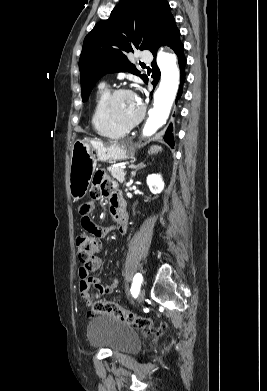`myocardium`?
<instances>
[{"instance_id":"f54148a6","label":"myocardium","mask_w":267,"mask_h":391,"mask_svg":"<svg viewBox=\"0 0 267 391\" xmlns=\"http://www.w3.org/2000/svg\"><path fill=\"white\" fill-rule=\"evenodd\" d=\"M126 93H129V94H132L135 96V94L127 88H117V89H114L113 91H111L109 93L108 97L106 98L104 110H105V115H106L107 119L109 120V122L112 125H114L115 127L119 128L121 130L129 131V130L133 129L134 127H136L143 120L144 115H145V106L142 103H139L140 104V112H139L138 116L130 123L124 124V123L120 122L114 115L113 104H114L115 99L119 95L126 94Z\"/></svg>"}]
</instances>
